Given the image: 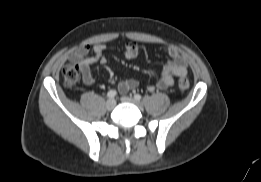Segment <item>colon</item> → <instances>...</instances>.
<instances>
[{"instance_id": "colon-1", "label": "colon", "mask_w": 261, "mask_h": 182, "mask_svg": "<svg viewBox=\"0 0 261 182\" xmlns=\"http://www.w3.org/2000/svg\"><path fill=\"white\" fill-rule=\"evenodd\" d=\"M81 70L76 64H67L62 69V79L64 86L74 87L80 80ZM178 87L181 91H186L189 88V81L186 78L178 80Z\"/></svg>"}]
</instances>
